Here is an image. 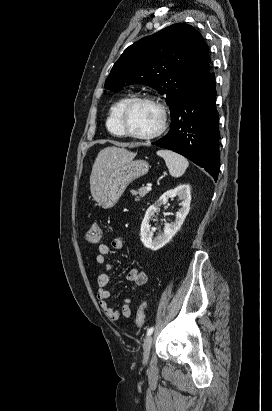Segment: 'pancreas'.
Returning <instances> with one entry per match:
<instances>
[{"label":"pancreas","instance_id":"pancreas-1","mask_svg":"<svg viewBox=\"0 0 272 411\" xmlns=\"http://www.w3.org/2000/svg\"><path fill=\"white\" fill-rule=\"evenodd\" d=\"M148 191L146 190L145 187H141L138 190H132V194L136 196L135 201H139L141 198H143Z\"/></svg>","mask_w":272,"mask_h":411}]
</instances>
